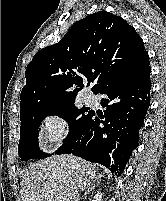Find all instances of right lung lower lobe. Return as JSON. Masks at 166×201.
Here are the masks:
<instances>
[{"label": "right lung lower lobe", "mask_w": 166, "mask_h": 201, "mask_svg": "<svg viewBox=\"0 0 166 201\" xmlns=\"http://www.w3.org/2000/svg\"><path fill=\"white\" fill-rule=\"evenodd\" d=\"M149 56L104 83L96 92L104 94V114L92 111L81 128L56 152L73 154L106 166L121 176L132 151L137 148L139 130L150 105Z\"/></svg>", "instance_id": "98d812e1"}]
</instances>
